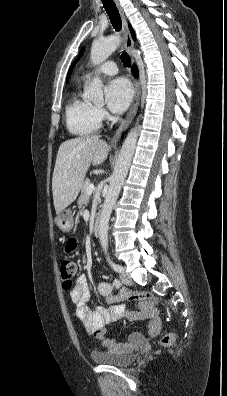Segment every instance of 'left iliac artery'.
I'll list each match as a JSON object with an SVG mask.
<instances>
[{"label": "left iliac artery", "mask_w": 227, "mask_h": 396, "mask_svg": "<svg viewBox=\"0 0 227 396\" xmlns=\"http://www.w3.org/2000/svg\"><path fill=\"white\" fill-rule=\"evenodd\" d=\"M107 261L109 263V265L116 271V272H121L122 271V266L116 264L115 262L112 261V259L107 256Z\"/></svg>", "instance_id": "left-iliac-artery-1"}]
</instances>
